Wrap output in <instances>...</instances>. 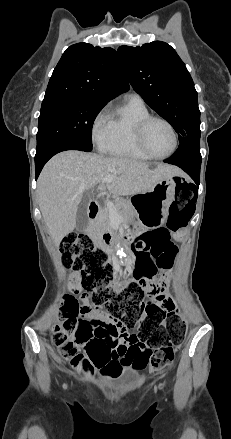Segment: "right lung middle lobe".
I'll return each mask as SVG.
<instances>
[{
  "instance_id": "1",
  "label": "right lung middle lobe",
  "mask_w": 231,
  "mask_h": 439,
  "mask_svg": "<svg viewBox=\"0 0 231 439\" xmlns=\"http://www.w3.org/2000/svg\"><path fill=\"white\" fill-rule=\"evenodd\" d=\"M104 103L71 99L42 103L36 155L47 151L59 141H69L92 150L91 131Z\"/></svg>"
}]
</instances>
